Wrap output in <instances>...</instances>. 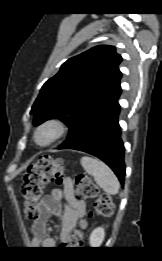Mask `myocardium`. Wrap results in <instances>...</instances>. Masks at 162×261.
I'll use <instances>...</instances> for the list:
<instances>
[{
    "label": "myocardium",
    "instance_id": "myocardium-1",
    "mask_svg": "<svg viewBox=\"0 0 162 261\" xmlns=\"http://www.w3.org/2000/svg\"><path fill=\"white\" fill-rule=\"evenodd\" d=\"M66 131L67 126L62 119L49 118L37 126L33 141L39 147H47L60 139Z\"/></svg>",
    "mask_w": 162,
    "mask_h": 261
}]
</instances>
